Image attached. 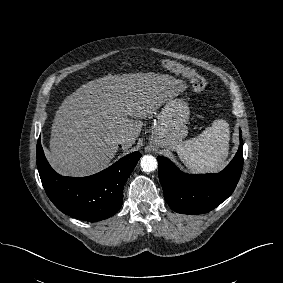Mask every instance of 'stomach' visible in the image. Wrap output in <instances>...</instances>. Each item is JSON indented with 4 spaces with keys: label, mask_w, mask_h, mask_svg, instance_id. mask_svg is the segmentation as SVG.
Instances as JSON below:
<instances>
[{
    "label": "stomach",
    "mask_w": 283,
    "mask_h": 283,
    "mask_svg": "<svg viewBox=\"0 0 283 283\" xmlns=\"http://www.w3.org/2000/svg\"><path fill=\"white\" fill-rule=\"evenodd\" d=\"M190 110L185 101L171 98L158 114V125L152 132L149 143L155 147L176 150L180 142L187 136L186 123Z\"/></svg>",
    "instance_id": "0dacf381"
}]
</instances>
